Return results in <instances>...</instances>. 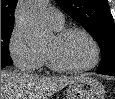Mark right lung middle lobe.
Returning a JSON list of instances; mask_svg holds the SVG:
<instances>
[{
	"label": "right lung middle lobe",
	"mask_w": 115,
	"mask_h": 99,
	"mask_svg": "<svg viewBox=\"0 0 115 99\" xmlns=\"http://www.w3.org/2000/svg\"><path fill=\"white\" fill-rule=\"evenodd\" d=\"M13 27H1V65L9 66L12 60L9 53V40Z\"/></svg>",
	"instance_id": "right-lung-middle-lobe-1"
}]
</instances>
